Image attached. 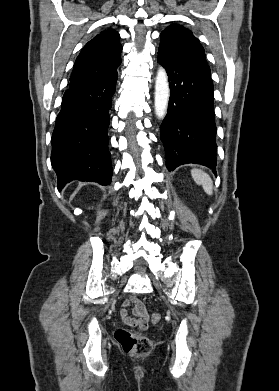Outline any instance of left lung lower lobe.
Listing matches in <instances>:
<instances>
[{
	"mask_svg": "<svg viewBox=\"0 0 279 391\" xmlns=\"http://www.w3.org/2000/svg\"><path fill=\"white\" fill-rule=\"evenodd\" d=\"M170 81L168 113L160 127L169 171L186 163L213 168L216 174V125L213 83L198 70L158 51Z\"/></svg>",
	"mask_w": 279,
	"mask_h": 391,
	"instance_id": "left-lung-lower-lobe-1",
	"label": "left lung lower lobe"
}]
</instances>
